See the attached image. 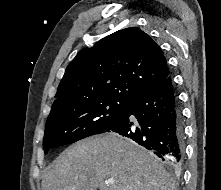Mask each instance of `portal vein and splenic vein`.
<instances>
[{
  "mask_svg": "<svg viewBox=\"0 0 221 190\" xmlns=\"http://www.w3.org/2000/svg\"><path fill=\"white\" fill-rule=\"evenodd\" d=\"M114 179L113 178H109L105 181L106 184H114Z\"/></svg>",
  "mask_w": 221,
  "mask_h": 190,
  "instance_id": "obj_1",
  "label": "portal vein and splenic vein"
}]
</instances>
